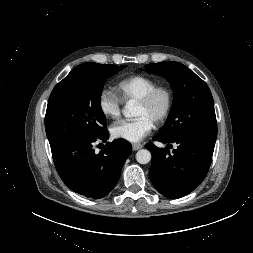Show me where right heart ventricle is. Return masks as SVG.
Here are the masks:
<instances>
[{
	"label": "right heart ventricle",
	"instance_id": "right-heart-ventricle-1",
	"mask_svg": "<svg viewBox=\"0 0 253 253\" xmlns=\"http://www.w3.org/2000/svg\"><path fill=\"white\" fill-rule=\"evenodd\" d=\"M157 85V80L146 75H133L121 80L117 90L122 100H139L150 89Z\"/></svg>",
	"mask_w": 253,
	"mask_h": 253
}]
</instances>
